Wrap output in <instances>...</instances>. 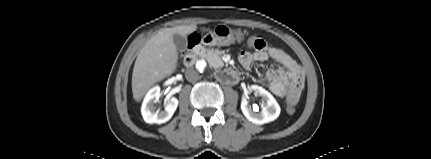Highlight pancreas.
I'll list each match as a JSON object with an SVG mask.
<instances>
[{
	"mask_svg": "<svg viewBox=\"0 0 431 159\" xmlns=\"http://www.w3.org/2000/svg\"><path fill=\"white\" fill-rule=\"evenodd\" d=\"M220 54L221 52L219 50L213 49H201L199 51L200 57L207 60L209 65L212 67H219L223 64Z\"/></svg>",
	"mask_w": 431,
	"mask_h": 159,
	"instance_id": "obj_1",
	"label": "pancreas"
}]
</instances>
